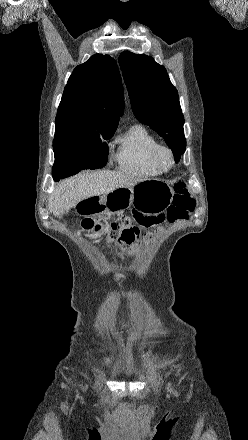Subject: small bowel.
<instances>
[{
  "mask_svg": "<svg viewBox=\"0 0 248 440\" xmlns=\"http://www.w3.org/2000/svg\"><path fill=\"white\" fill-rule=\"evenodd\" d=\"M174 222V221H173ZM121 328H122V330L124 331V332H126V331H128L129 330V325L128 324H121Z\"/></svg>",
  "mask_w": 248,
  "mask_h": 440,
  "instance_id": "small-bowel-1",
  "label": "small bowel"
}]
</instances>
